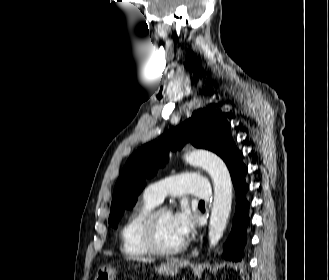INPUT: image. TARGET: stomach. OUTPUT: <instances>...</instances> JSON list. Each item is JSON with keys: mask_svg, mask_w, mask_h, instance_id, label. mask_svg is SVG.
Instances as JSON below:
<instances>
[{"mask_svg": "<svg viewBox=\"0 0 329 280\" xmlns=\"http://www.w3.org/2000/svg\"><path fill=\"white\" fill-rule=\"evenodd\" d=\"M156 271L160 275L174 276L179 272V264L171 261L166 264H162L160 267L156 268ZM116 273L117 271L114 267L110 265H103L97 270L94 280H114Z\"/></svg>", "mask_w": 329, "mask_h": 280, "instance_id": "0dacf381", "label": "stomach"}]
</instances>
